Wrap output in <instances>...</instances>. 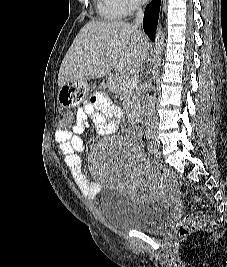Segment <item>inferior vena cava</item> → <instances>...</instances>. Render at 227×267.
<instances>
[{"label": "inferior vena cava", "mask_w": 227, "mask_h": 267, "mask_svg": "<svg viewBox=\"0 0 227 267\" xmlns=\"http://www.w3.org/2000/svg\"><path fill=\"white\" fill-rule=\"evenodd\" d=\"M136 18L134 21V28L141 26L143 22V10L139 4L135 5ZM148 87V85H146ZM146 108H145V133L146 135L155 134L157 128V117L155 115L154 98L146 94Z\"/></svg>", "instance_id": "602c4592"}]
</instances>
